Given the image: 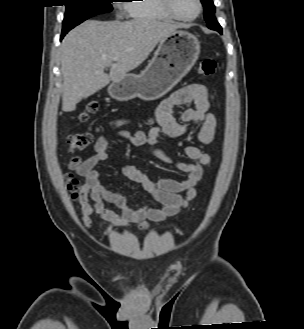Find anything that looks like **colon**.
Returning <instances> with one entry per match:
<instances>
[{
    "instance_id": "5ec220e1",
    "label": "colon",
    "mask_w": 304,
    "mask_h": 329,
    "mask_svg": "<svg viewBox=\"0 0 304 329\" xmlns=\"http://www.w3.org/2000/svg\"><path fill=\"white\" fill-rule=\"evenodd\" d=\"M216 62L211 58L203 59L198 66V73L203 76H211L215 73ZM99 105L96 101L87 102L77 115L79 123L87 122L90 117L97 112ZM93 141V136L89 132H81L70 135L67 138L68 145L71 151H81L87 149ZM82 188V183L79 179L69 176L67 179V190L73 199H76Z\"/></svg>"
}]
</instances>
